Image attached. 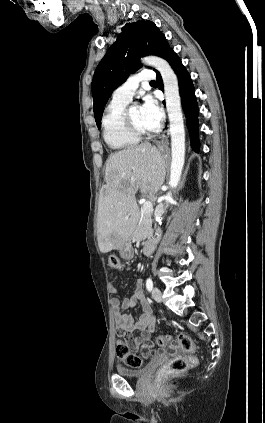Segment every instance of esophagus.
<instances>
[{
  "label": "esophagus",
  "instance_id": "34e87169",
  "mask_svg": "<svg viewBox=\"0 0 265 423\" xmlns=\"http://www.w3.org/2000/svg\"><path fill=\"white\" fill-rule=\"evenodd\" d=\"M167 143H168V139H167V137L166 136H162L161 138H160V140H159V145L160 146H165V145H167Z\"/></svg>",
  "mask_w": 265,
  "mask_h": 423
}]
</instances>
